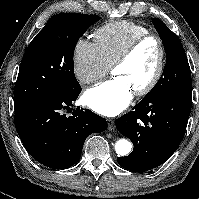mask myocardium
Masks as SVG:
<instances>
[{
  "label": "myocardium",
  "mask_w": 199,
  "mask_h": 199,
  "mask_svg": "<svg viewBox=\"0 0 199 199\" xmlns=\"http://www.w3.org/2000/svg\"><path fill=\"white\" fill-rule=\"evenodd\" d=\"M147 40H154L157 43L159 50V58L156 69L150 80L143 87L135 89L133 91L134 95L136 96H144L149 94L156 87V85L162 77L166 57L165 46L162 39L157 34L150 32L135 38L118 56V58L114 61L111 67V71L113 73L115 69L125 64L135 53V51L139 48V46Z\"/></svg>",
  "instance_id": "obj_1"
}]
</instances>
